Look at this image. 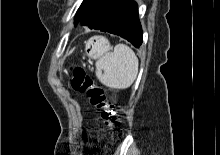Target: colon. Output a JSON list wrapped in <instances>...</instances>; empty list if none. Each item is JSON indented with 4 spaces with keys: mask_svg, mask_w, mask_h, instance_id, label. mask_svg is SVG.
<instances>
[{
    "mask_svg": "<svg viewBox=\"0 0 220 155\" xmlns=\"http://www.w3.org/2000/svg\"><path fill=\"white\" fill-rule=\"evenodd\" d=\"M69 82L74 90L86 95L90 106L100 112L101 119L106 125L119 126L120 121L107 101L104 89L88 76L82 68L76 67L70 70Z\"/></svg>",
    "mask_w": 220,
    "mask_h": 155,
    "instance_id": "obj_1",
    "label": "colon"
}]
</instances>
